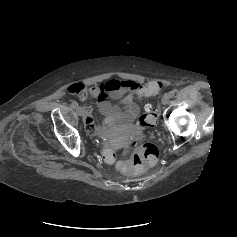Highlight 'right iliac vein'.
<instances>
[{"label":"right iliac vein","instance_id":"right-iliac-vein-1","mask_svg":"<svg viewBox=\"0 0 237 237\" xmlns=\"http://www.w3.org/2000/svg\"><path fill=\"white\" fill-rule=\"evenodd\" d=\"M76 112L79 116H83V114H84V111H83L82 107H80V106L76 108Z\"/></svg>","mask_w":237,"mask_h":237}]
</instances>
